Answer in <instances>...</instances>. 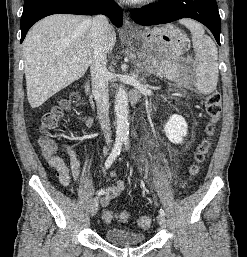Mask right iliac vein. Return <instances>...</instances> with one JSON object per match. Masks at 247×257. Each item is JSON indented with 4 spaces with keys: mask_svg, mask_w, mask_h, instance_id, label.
I'll return each mask as SVG.
<instances>
[{
    "mask_svg": "<svg viewBox=\"0 0 247 257\" xmlns=\"http://www.w3.org/2000/svg\"><path fill=\"white\" fill-rule=\"evenodd\" d=\"M98 211V197H93L89 201V212L91 216H95Z\"/></svg>",
    "mask_w": 247,
    "mask_h": 257,
    "instance_id": "1",
    "label": "right iliac vein"
}]
</instances>
